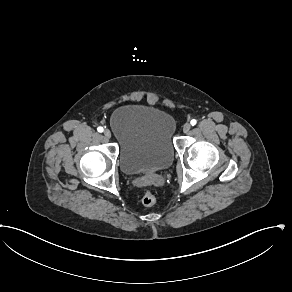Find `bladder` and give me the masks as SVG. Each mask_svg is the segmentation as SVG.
<instances>
[{
	"instance_id": "31cf9c89",
	"label": "bladder",
	"mask_w": 292,
	"mask_h": 292,
	"mask_svg": "<svg viewBox=\"0 0 292 292\" xmlns=\"http://www.w3.org/2000/svg\"><path fill=\"white\" fill-rule=\"evenodd\" d=\"M110 126L119 145V163L126 174L168 167L175 156L173 116L154 105L130 103L117 108Z\"/></svg>"
}]
</instances>
